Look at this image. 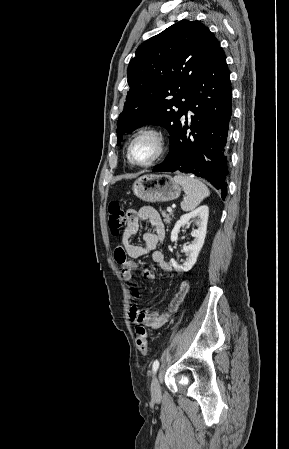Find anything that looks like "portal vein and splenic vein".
Listing matches in <instances>:
<instances>
[{
    "label": "portal vein and splenic vein",
    "instance_id": "obj_1",
    "mask_svg": "<svg viewBox=\"0 0 289 449\" xmlns=\"http://www.w3.org/2000/svg\"><path fill=\"white\" fill-rule=\"evenodd\" d=\"M167 211H168V212H172V208H171V207H168V208H167Z\"/></svg>",
    "mask_w": 289,
    "mask_h": 449
}]
</instances>
